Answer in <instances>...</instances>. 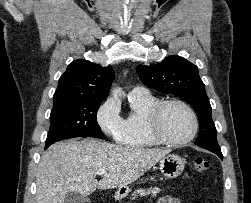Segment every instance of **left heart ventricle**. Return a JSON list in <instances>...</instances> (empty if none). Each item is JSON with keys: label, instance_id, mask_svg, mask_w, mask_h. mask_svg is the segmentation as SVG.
Returning <instances> with one entry per match:
<instances>
[{"label": "left heart ventricle", "instance_id": "1", "mask_svg": "<svg viewBox=\"0 0 251 203\" xmlns=\"http://www.w3.org/2000/svg\"><path fill=\"white\" fill-rule=\"evenodd\" d=\"M160 128L166 137L180 140L190 134L192 119L184 107L171 104L163 110Z\"/></svg>", "mask_w": 251, "mask_h": 203}]
</instances>
